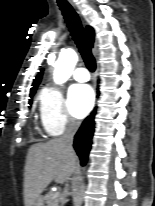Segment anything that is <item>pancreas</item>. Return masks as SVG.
Masks as SVG:
<instances>
[{
    "label": "pancreas",
    "instance_id": "1",
    "mask_svg": "<svg viewBox=\"0 0 155 206\" xmlns=\"http://www.w3.org/2000/svg\"><path fill=\"white\" fill-rule=\"evenodd\" d=\"M47 206H59L60 195L49 191L44 197Z\"/></svg>",
    "mask_w": 155,
    "mask_h": 206
}]
</instances>
